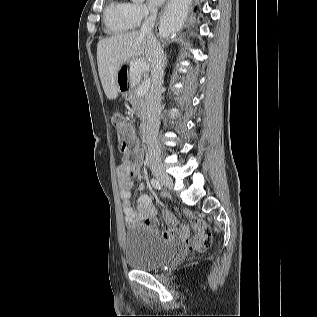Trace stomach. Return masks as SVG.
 I'll list each match as a JSON object with an SVG mask.
<instances>
[{
	"label": "stomach",
	"mask_w": 317,
	"mask_h": 317,
	"mask_svg": "<svg viewBox=\"0 0 317 317\" xmlns=\"http://www.w3.org/2000/svg\"><path fill=\"white\" fill-rule=\"evenodd\" d=\"M147 65V59H126L117 73L115 89L118 94H133L130 87L142 83L140 74H146Z\"/></svg>",
	"instance_id": "1"
}]
</instances>
